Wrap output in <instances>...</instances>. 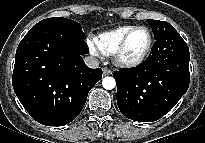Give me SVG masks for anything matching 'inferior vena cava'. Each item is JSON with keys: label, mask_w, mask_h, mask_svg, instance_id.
Instances as JSON below:
<instances>
[{"label": "inferior vena cava", "mask_w": 205, "mask_h": 143, "mask_svg": "<svg viewBox=\"0 0 205 143\" xmlns=\"http://www.w3.org/2000/svg\"><path fill=\"white\" fill-rule=\"evenodd\" d=\"M84 62L89 68H98L99 67V61L94 56H86L84 58Z\"/></svg>", "instance_id": "inferior-vena-cava-1"}]
</instances>
